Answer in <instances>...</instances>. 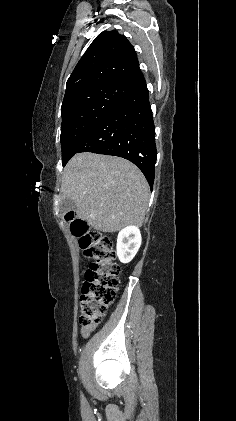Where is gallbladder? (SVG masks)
Returning <instances> with one entry per match:
<instances>
[{
	"mask_svg": "<svg viewBox=\"0 0 236 421\" xmlns=\"http://www.w3.org/2000/svg\"><path fill=\"white\" fill-rule=\"evenodd\" d=\"M60 208L62 213H69V211H77V204L73 202L70 196H67V198L60 200Z\"/></svg>",
	"mask_w": 236,
	"mask_h": 421,
	"instance_id": "bac80fb5",
	"label": "gallbladder"
}]
</instances>
